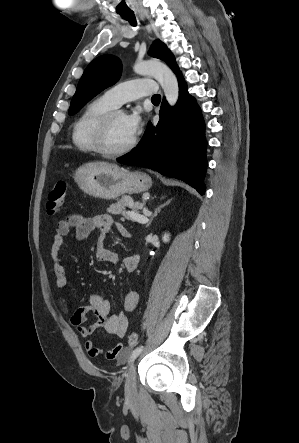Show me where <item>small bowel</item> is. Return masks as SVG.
Wrapping results in <instances>:
<instances>
[{
  "mask_svg": "<svg viewBox=\"0 0 299 443\" xmlns=\"http://www.w3.org/2000/svg\"><path fill=\"white\" fill-rule=\"evenodd\" d=\"M73 229L75 230V237L77 240H82L88 237L94 231L99 232V237L95 246V259L104 263L115 264L119 261L117 253L106 246V239L112 230L116 229L121 235L129 236V232L123 226L116 224L109 215L85 217L73 214L60 220L56 225V231L50 250L53 259V271L59 289H65L68 283L60 251L65 238ZM139 261L140 258L138 255H130L124 257L121 260V264L127 272H133L137 268ZM138 301V294L135 291H129L125 294L123 299V310L116 314H111L109 301L98 294H92L89 297L88 305L75 310L70 315L69 321L83 338L90 337L100 328L104 329V331L110 335L123 338L129 325L127 314L136 309ZM60 302L65 309V301L61 299ZM89 312H93L97 321L90 326H84L83 323ZM85 348L91 357L97 358L103 356L107 360L119 359L124 350L123 344L118 343L112 349L104 351L96 347L91 339L86 340Z\"/></svg>",
  "mask_w": 299,
  "mask_h": 443,
  "instance_id": "c3829d8e",
  "label": "small bowel"
}]
</instances>
